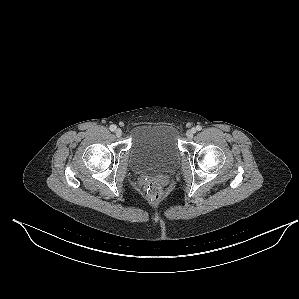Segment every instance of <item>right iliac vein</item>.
<instances>
[{"instance_id": "right-iliac-vein-1", "label": "right iliac vein", "mask_w": 299, "mask_h": 299, "mask_svg": "<svg viewBox=\"0 0 299 299\" xmlns=\"http://www.w3.org/2000/svg\"><path fill=\"white\" fill-rule=\"evenodd\" d=\"M115 134H116L117 137H121L123 132L120 128H118V129H116Z\"/></svg>"}]
</instances>
